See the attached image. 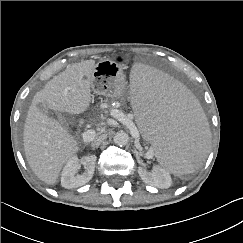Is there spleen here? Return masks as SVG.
<instances>
[{
  "label": "spleen",
  "mask_w": 243,
  "mask_h": 243,
  "mask_svg": "<svg viewBox=\"0 0 243 243\" xmlns=\"http://www.w3.org/2000/svg\"><path fill=\"white\" fill-rule=\"evenodd\" d=\"M130 107L164 170H195L204 160L208 124L195 97L178 80L143 62L126 70Z\"/></svg>",
  "instance_id": "3e777b00"
}]
</instances>
